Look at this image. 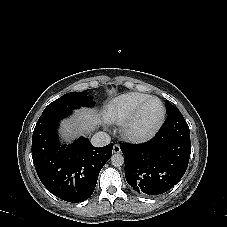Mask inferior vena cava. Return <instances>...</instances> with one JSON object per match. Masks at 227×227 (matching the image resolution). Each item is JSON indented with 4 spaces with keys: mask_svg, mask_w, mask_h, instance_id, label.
<instances>
[{
    "mask_svg": "<svg viewBox=\"0 0 227 227\" xmlns=\"http://www.w3.org/2000/svg\"><path fill=\"white\" fill-rule=\"evenodd\" d=\"M110 141L111 137L105 132H97L91 138V143L95 147L106 146Z\"/></svg>",
    "mask_w": 227,
    "mask_h": 227,
    "instance_id": "obj_1",
    "label": "inferior vena cava"
}]
</instances>
